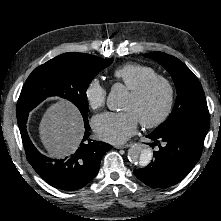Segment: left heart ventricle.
Returning <instances> with one entry per match:
<instances>
[{"label": "left heart ventricle", "mask_w": 221, "mask_h": 221, "mask_svg": "<svg viewBox=\"0 0 221 221\" xmlns=\"http://www.w3.org/2000/svg\"><path fill=\"white\" fill-rule=\"evenodd\" d=\"M166 91L161 84H156L144 97L138 99L129 94L122 105V110L132 111L138 120H152L163 110Z\"/></svg>", "instance_id": "obj_1"}]
</instances>
